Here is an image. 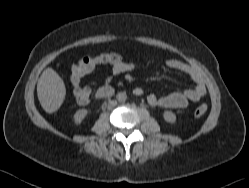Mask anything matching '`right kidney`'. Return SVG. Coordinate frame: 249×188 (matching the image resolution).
<instances>
[{"label":"right kidney","mask_w":249,"mask_h":188,"mask_svg":"<svg viewBox=\"0 0 249 188\" xmlns=\"http://www.w3.org/2000/svg\"><path fill=\"white\" fill-rule=\"evenodd\" d=\"M88 111L86 109H79L73 116L75 124H80L84 118L87 116Z\"/></svg>","instance_id":"obj_1"}]
</instances>
